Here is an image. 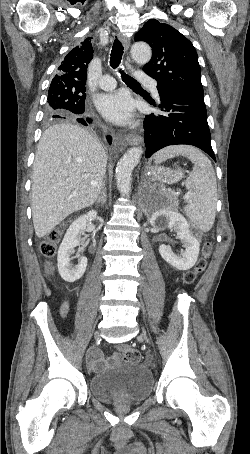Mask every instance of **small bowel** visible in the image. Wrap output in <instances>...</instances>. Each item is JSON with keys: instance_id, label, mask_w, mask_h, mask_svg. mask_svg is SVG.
Returning <instances> with one entry per match:
<instances>
[{"instance_id": "small-bowel-1", "label": "small bowel", "mask_w": 250, "mask_h": 454, "mask_svg": "<svg viewBox=\"0 0 250 454\" xmlns=\"http://www.w3.org/2000/svg\"><path fill=\"white\" fill-rule=\"evenodd\" d=\"M68 309L69 303L68 301H64L60 309V314L62 317H65L67 315ZM87 362L89 368L92 371H98L105 367L108 363V361L104 359L103 354L99 349H92L88 352Z\"/></svg>"}]
</instances>
